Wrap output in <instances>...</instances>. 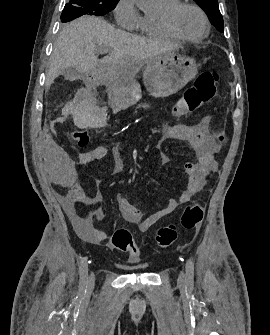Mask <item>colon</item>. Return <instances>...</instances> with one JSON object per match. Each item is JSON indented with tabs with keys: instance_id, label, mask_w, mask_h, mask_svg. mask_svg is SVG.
<instances>
[{
	"instance_id": "colon-1",
	"label": "colon",
	"mask_w": 270,
	"mask_h": 335,
	"mask_svg": "<svg viewBox=\"0 0 270 335\" xmlns=\"http://www.w3.org/2000/svg\"><path fill=\"white\" fill-rule=\"evenodd\" d=\"M217 71H203L200 73L182 98L174 107L176 117L200 108L205 102L211 100L217 90L219 81ZM71 139L79 147L89 144L90 136L86 130H74ZM217 139L220 142L225 140V133L219 131ZM203 219V206L200 203H190L185 208L177 224H168L158 229L156 244L160 249H169L176 242L180 230H192L200 226ZM112 248L126 252L132 260L139 258L140 248L134 244L133 236L126 228H119L114 231L111 239Z\"/></svg>"
}]
</instances>
